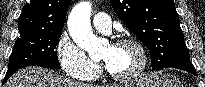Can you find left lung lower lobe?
<instances>
[{
	"instance_id": "left-lung-lower-lobe-1",
	"label": "left lung lower lobe",
	"mask_w": 205,
	"mask_h": 87,
	"mask_svg": "<svg viewBox=\"0 0 205 87\" xmlns=\"http://www.w3.org/2000/svg\"><path fill=\"white\" fill-rule=\"evenodd\" d=\"M170 67L181 69V70L190 72V73H192V74L197 76L196 70H195L193 64L190 61L178 62V63H175V64L171 65Z\"/></svg>"
}]
</instances>
